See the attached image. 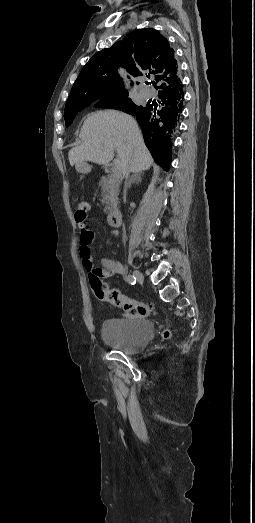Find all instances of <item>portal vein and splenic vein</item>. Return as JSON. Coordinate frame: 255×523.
I'll use <instances>...</instances> for the list:
<instances>
[{
  "label": "portal vein and splenic vein",
  "instance_id": "portal-vein-and-splenic-vein-1",
  "mask_svg": "<svg viewBox=\"0 0 255 523\" xmlns=\"http://www.w3.org/2000/svg\"><path fill=\"white\" fill-rule=\"evenodd\" d=\"M111 173H112L113 175H116V174L118 173V167H117V164H114V167H112Z\"/></svg>",
  "mask_w": 255,
  "mask_h": 523
}]
</instances>
